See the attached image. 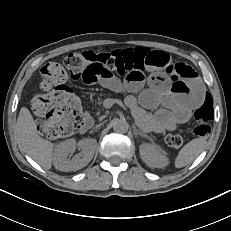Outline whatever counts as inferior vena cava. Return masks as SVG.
I'll return each mask as SVG.
<instances>
[{
	"mask_svg": "<svg viewBox=\"0 0 231 231\" xmlns=\"http://www.w3.org/2000/svg\"><path fill=\"white\" fill-rule=\"evenodd\" d=\"M100 126H101V124H99V125H96V126H95V128H99Z\"/></svg>",
	"mask_w": 231,
	"mask_h": 231,
	"instance_id": "602c4592",
	"label": "inferior vena cava"
}]
</instances>
